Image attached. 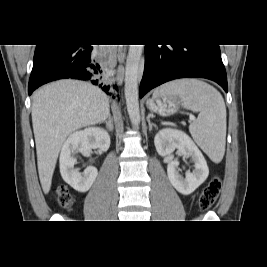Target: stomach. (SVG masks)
Wrapping results in <instances>:
<instances>
[{"label":"stomach","mask_w":267,"mask_h":267,"mask_svg":"<svg viewBox=\"0 0 267 267\" xmlns=\"http://www.w3.org/2000/svg\"><path fill=\"white\" fill-rule=\"evenodd\" d=\"M147 107L160 116L173 115L179 109L177 98L172 94L160 95L156 98L149 99L147 101Z\"/></svg>","instance_id":"obj_1"}]
</instances>
